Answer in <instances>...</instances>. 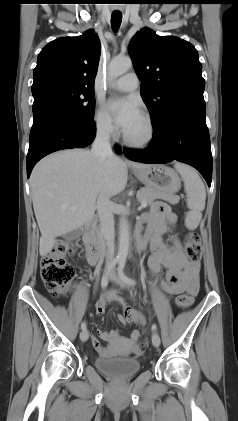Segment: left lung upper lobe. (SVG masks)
<instances>
[{
	"label": "left lung upper lobe",
	"mask_w": 238,
	"mask_h": 421,
	"mask_svg": "<svg viewBox=\"0 0 238 421\" xmlns=\"http://www.w3.org/2000/svg\"><path fill=\"white\" fill-rule=\"evenodd\" d=\"M128 50L155 129L178 109L205 105L202 65L192 44L145 28L131 39Z\"/></svg>",
	"instance_id": "obj_1"
}]
</instances>
